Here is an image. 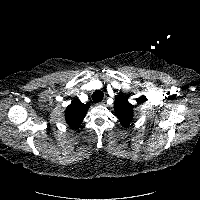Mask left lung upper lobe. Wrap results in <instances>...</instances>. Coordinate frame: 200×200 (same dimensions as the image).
Instances as JSON below:
<instances>
[{
  "instance_id": "1",
  "label": "left lung upper lobe",
  "mask_w": 200,
  "mask_h": 200,
  "mask_svg": "<svg viewBox=\"0 0 200 200\" xmlns=\"http://www.w3.org/2000/svg\"><path fill=\"white\" fill-rule=\"evenodd\" d=\"M114 108L120 123L127 127L133 118V106L124 96H119L115 100Z\"/></svg>"
}]
</instances>
